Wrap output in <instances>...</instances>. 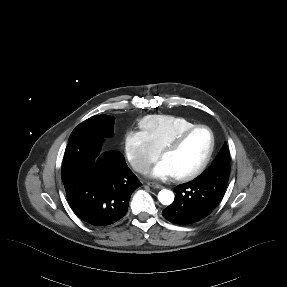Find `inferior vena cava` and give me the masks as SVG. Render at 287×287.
<instances>
[{
  "instance_id": "obj_1",
  "label": "inferior vena cava",
  "mask_w": 287,
  "mask_h": 287,
  "mask_svg": "<svg viewBox=\"0 0 287 287\" xmlns=\"http://www.w3.org/2000/svg\"><path fill=\"white\" fill-rule=\"evenodd\" d=\"M149 169H150V166L148 164H140L136 168L138 172H147L149 171Z\"/></svg>"
}]
</instances>
